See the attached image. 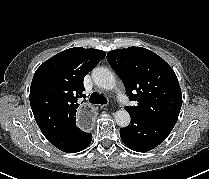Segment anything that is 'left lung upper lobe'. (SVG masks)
<instances>
[{
	"label": "left lung upper lobe",
	"mask_w": 209,
	"mask_h": 179,
	"mask_svg": "<svg viewBox=\"0 0 209 179\" xmlns=\"http://www.w3.org/2000/svg\"><path fill=\"white\" fill-rule=\"evenodd\" d=\"M107 60L122 79L127 95L136 106H126L129 113L174 126L182 94L173 69L157 54L142 48L112 50Z\"/></svg>",
	"instance_id": "5c2ea615"
}]
</instances>
